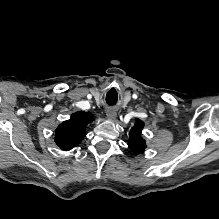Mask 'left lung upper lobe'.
<instances>
[{
  "label": "left lung upper lobe",
  "instance_id": "1",
  "mask_svg": "<svg viewBox=\"0 0 219 219\" xmlns=\"http://www.w3.org/2000/svg\"><path fill=\"white\" fill-rule=\"evenodd\" d=\"M143 127L144 122L136 119L135 124L130 131L128 146L135 155L142 153L146 148V141L141 137Z\"/></svg>",
  "mask_w": 219,
  "mask_h": 219
}]
</instances>
